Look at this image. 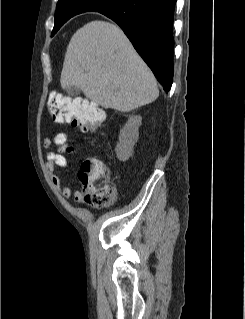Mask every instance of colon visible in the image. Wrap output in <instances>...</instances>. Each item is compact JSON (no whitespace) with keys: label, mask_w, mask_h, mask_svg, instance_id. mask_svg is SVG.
<instances>
[{"label":"colon","mask_w":245,"mask_h":319,"mask_svg":"<svg viewBox=\"0 0 245 319\" xmlns=\"http://www.w3.org/2000/svg\"><path fill=\"white\" fill-rule=\"evenodd\" d=\"M51 116L58 122L70 123L80 133L100 127L105 119L103 111L89 101L53 93L48 100ZM81 192L95 207H108L116 197V186L108 176L104 163L97 157L84 158L79 170Z\"/></svg>","instance_id":"obj_1"}]
</instances>
